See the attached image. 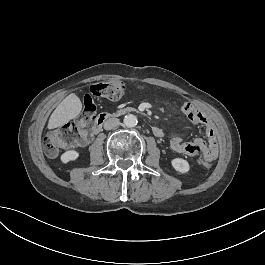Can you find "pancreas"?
<instances>
[{
	"instance_id": "pancreas-1",
	"label": "pancreas",
	"mask_w": 265,
	"mask_h": 265,
	"mask_svg": "<svg viewBox=\"0 0 265 265\" xmlns=\"http://www.w3.org/2000/svg\"><path fill=\"white\" fill-rule=\"evenodd\" d=\"M125 110L127 112L134 111V109L130 107L126 108ZM118 115H120V110H117L115 113L112 114V116H118Z\"/></svg>"
}]
</instances>
